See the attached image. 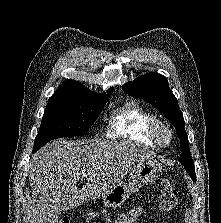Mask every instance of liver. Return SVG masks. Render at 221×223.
I'll use <instances>...</instances> for the list:
<instances>
[{"instance_id": "liver-1", "label": "liver", "mask_w": 221, "mask_h": 223, "mask_svg": "<svg viewBox=\"0 0 221 223\" xmlns=\"http://www.w3.org/2000/svg\"><path fill=\"white\" fill-rule=\"evenodd\" d=\"M147 160H155V153L125 141L46 144L30 161L32 202L26 223H57L62 212L108 193L132 166Z\"/></svg>"}]
</instances>
